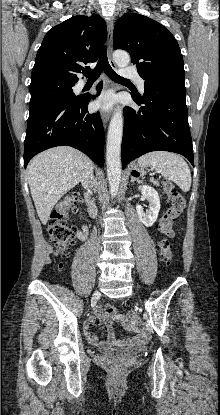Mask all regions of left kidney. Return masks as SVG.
<instances>
[{
  "instance_id": "1",
  "label": "left kidney",
  "mask_w": 220,
  "mask_h": 415,
  "mask_svg": "<svg viewBox=\"0 0 220 415\" xmlns=\"http://www.w3.org/2000/svg\"><path fill=\"white\" fill-rule=\"evenodd\" d=\"M139 190H141L142 195L149 202V210H147V212H144L142 206H137L136 210L141 222L146 227H150L157 220L158 213L160 210V198L157 191L148 185L139 186Z\"/></svg>"
}]
</instances>
